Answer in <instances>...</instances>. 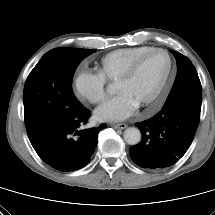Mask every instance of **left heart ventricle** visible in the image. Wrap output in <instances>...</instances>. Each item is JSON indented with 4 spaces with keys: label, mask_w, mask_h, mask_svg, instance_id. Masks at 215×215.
I'll return each mask as SVG.
<instances>
[{
    "label": "left heart ventricle",
    "mask_w": 215,
    "mask_h": 215,
    "mask_svg": "<svg viewBox=\"0 0 215 215\" xmlns=\"http://www.w3.org/2000/svg\"><path fill=\"white\" fill-rule=\"evenodd\" d=\"M167 68V56L160 52L153 53L143 60L131 79L116 83V92L126 93L140 106L157 90Z\"/></svg>",
    "instance_id": "1"
}]
</instances>
